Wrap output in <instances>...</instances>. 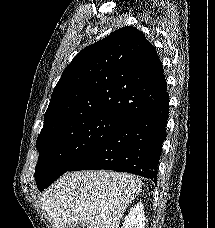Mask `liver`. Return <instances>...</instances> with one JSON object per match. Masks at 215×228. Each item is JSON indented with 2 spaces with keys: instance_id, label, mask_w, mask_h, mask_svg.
<instances>
[{
  "instance_id": "1",
  "label": "liver",
  "mask_w": 215,
  "mask_h": 228,
  "mask_svg": "<svg viewBox=\"0 0 215 228\" xmlns=\"http://www.w3.org/2000/svg\"><path fill=\"white\" fill-rule=\"evenodd\" d=\"M141 188L140 178L126 172H67L42 194L41 204L54 228H119Z\"/></svg>"
}]
</instances>
